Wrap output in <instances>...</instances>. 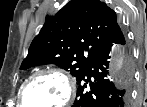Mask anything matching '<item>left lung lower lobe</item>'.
<instances>
[{
    "mask_svg": "<svg viewBox=\"0 0 147 107\" xmlns=\"http://www.w3.org/2000/svg\"><path fill=\"white\" fill-rule=\"evenodd\" d=\"M114 44H126L118 24L113 27L107 41L91 58L77 79V95L72 107H128L131 74L118 85L107 76L108 59Z\"/></svg>",
    "mask_w": 147,
    "mask_h": 107,
    "instance_id": "left-lung-lower-lobe-1",
    "label": "left lung lower lobe"
}]
</instances>
